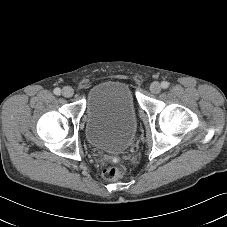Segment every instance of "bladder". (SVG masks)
Segmentation results:
<instances>
[{
	"mask_svg": "<svg viewBox=\"0 0 227 227\" xmlns=\"http://www.w3.org/2000/svg\"><path fill=\"white\" fill-rule=\"evenodd\" d=\"M137 112L129 86L105 81L94 86L86 99L85 136L93 147L120 153L133 142Z\"/></svg>",
	"mask_w": 227,
	"mask_h": 227,
	"instance_id": "bladder-1",
	"label": "bladder"
}]
</instances>
